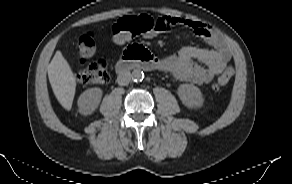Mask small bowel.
I'll return each instance as SVG.
<instances>
[{"instance_id": "1", "label": "small bowel", "mask_w": 292, "mask_h": 184, "mask_svg": "<svg viewBox=\"0 0 292 184\" xmlns=\"http://www.w3.org/2000/svg\"><path fill=\"white\" fill-rule=\"evenodd\" d=\"M155 21L160 33L169 32L176 26H184L210 46H185L176 54L161 59L162 69L179 80L194 84L209 83L223 72L231 59V53L222 36L214 28L177 16H162Z\"/></svg>"}]
</instances>
